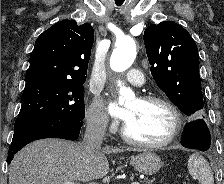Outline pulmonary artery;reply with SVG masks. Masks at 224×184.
Returning a JSON list of instances; mask_svg holds the SVG:
<instances>
[{
  "label": "pulmonary artery",
  "mask_w": 224,
  "mask_h": 184,
  "mask_svg": "<svg viewBox=\"0 0 224 184\" xmlns=\"http://www.w3.org/2000/svg\"><path fill=\"white\" fill-rule=\"evenodd\" d=\"M126 78L129 83L137 87L143 86L145 83L143 73L136 69L129 70L126 74Z\"/></svg>",
  "instance_id": "pulmonary-artery-1"
}]
</instances>
